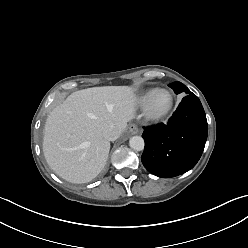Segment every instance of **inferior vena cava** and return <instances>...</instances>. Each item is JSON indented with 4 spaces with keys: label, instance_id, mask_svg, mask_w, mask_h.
Wrapping results in <instances>:
<instances>
[{
    "label": "inferior vena cava",
    "instance_id": "obj_1",
    "mask_svg": "<svg viewBox=\"0 0 248 248\" xmlns=\"http://www.w3.org/2000/svg\"><path fill=\"white\" fill-rule=\"evenodd\" d=\"M119 135V131L114 126H109L103 131V137L108 141H115Z\"/></svg>",
    "mask_w": 248,
    "mask_h": 248
}]
</instances>
